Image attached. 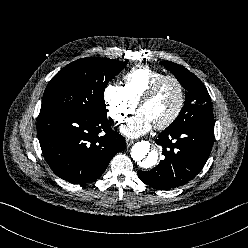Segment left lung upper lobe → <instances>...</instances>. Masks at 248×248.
<instances>
[{"mask_svg":"<svg viewBox=\"0 0 248 248\" xmlns=\"http://www.w3.org/2000/svg\"><path fill=\"white\" fill-rule=\"evenodd\" d=\"M161 64L173 73L187 90L185 105L168 128L214 125L210 96L201 80L181 65L169 61H162Z\"/></svg>","mask_w":248,"mask_h":248,"instance_id":"5c2ea615","label":"left lung upper lobe"}]
</instances>
